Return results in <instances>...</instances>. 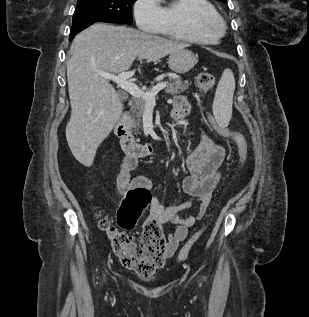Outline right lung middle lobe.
Listing matches in <instances>:
<instances>
[{"instance_id":"1","label":"right lung middle lobe","mask_w":309,"mask_h":317,"mask_svg":"<svg viewBox=\"0 0 309 317\" xmlns=\"http://www.w3.org/2000/svg\"><path fill=\"white\" fill-rule=\"evenodd\" d=\"M136 0H78L72 24L98 20L109 23L132 24L131 5Z\"/></svg>"}]
</instances>
